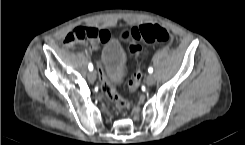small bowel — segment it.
Listing matches in <instances>:
<instances>
[{"instance_id":"1","label":"small bowel","mask_w":245,"mask_h":145,"mask_svg":"<svg viewBox=\"0 0 245 145\" xmlns=\"http://www.w3.org/2000/svg\"><path fill=\"white\" fill-rule=\"evenodd\" d=\"M92 28L96 29L99 32V37H97L93 42H91L89 50L97 51L99 50L101 44L104 43L110 37V30L100 29L97 27H92ZM101 73H102V77L105 79L106 75H105L103 68H101Z\"/></svg>"}]
</instances>
